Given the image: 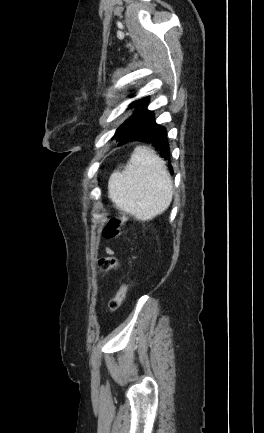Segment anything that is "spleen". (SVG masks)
I'll return each mask as SVG.
<instances>
[{
  "label": "spleen",
  "mask_w": 264,
  "mask_h": 433,
  "mask_svg": "<svg viewBox=\"0 0 264 433\" xmlns=\"http://www.w3.org/2000/svg\"><path fill=\"white\" fill-rule=\"evenodd\" d=\"M108 195L119 210L138 220L148 221L162 214L173 197L164 160L154 150L137 146L124 169L110 176Z\"/></svg>",
  "instance_id": "obj_1"
}]
</instances>
